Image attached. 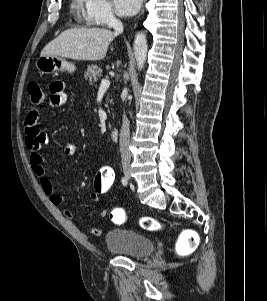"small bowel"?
I'll return each instance as SVG.
<instances>
[{"instance_id": "c3829d8e", "label": "small bowel", "mask_w": 267, "mask_h": 301, "mask_svg": "<svg viewBox=\"0 0 267 301\" xmlns=\"http://www.w3.org/2000/svg\"><path fill=\"white\" fill-rule=\"evenodd\" d=\"M66 85L61 80H56L50 85V99L49 103L52 107H60L67 101ZM25 127V144L29 150V162L33 173L38 177L40 186L43 192L50 198L54 205H61L64 202V198L56 192V189L46 174L43 167V156L41 154L42 147L48 143V137L42 132L39 126V113L37 109H31L24 120ZM76 152V146L74 144H67L64 148V153L67 156H72ZM100 197L93 191L90 193V200L92 202H99ZM64 214L68 217H72V212L68 209L64 210ZM101 216L107 215L106 210L101 211ZM82 221V218H80ZM91 234L100 236L102 231L97 228H91L89 230Z\"/></svg>"}]
</instances>
